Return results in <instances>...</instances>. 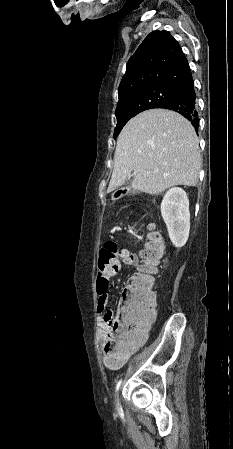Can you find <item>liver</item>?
<instances>
[{
	"label": "liver",
	"mask_w": 233,
	"mask_h": 449,
	"mask_svg": "<svg viewBox=\"0 0 233 449\" xmlns=\"http://www.w3.org/2000/svg\"><path fill=\"white\" fill-rule=\"evenodd\" d=\"M200 168L191 123L174 111L147 110L129 120L117 139L107 192L124 185L132 171V188L152 195L176 185L196 186Z\"/></svg>",
	"instance_id": "obj_1"
}]
</instances>
